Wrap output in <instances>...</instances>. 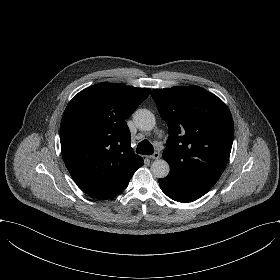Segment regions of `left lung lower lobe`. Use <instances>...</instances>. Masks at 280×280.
<instances>
[{
    "label": "left lung lower lobe",
    "mask_w": 280,
    "mask_h": 280,
    "mask_svg": "<svg viewBox=\"0 0 280 280\" xmlns=\"http://www.w3.org/2000/svg\"><path fill=\"white\" fill-rule=\"evenodd\" d=\"M159 185L171 199L187 203L202 197L214 184L206 182L180 183L175 178L167 176L159 179Z\"/></svg>",
    "instance_id": "left-lung-lower-lobe-1"
}]
</instances>
